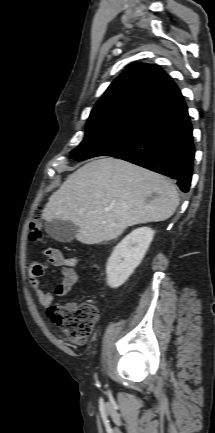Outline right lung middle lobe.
Returning <instances> with one entry per match:
<instances>
[{
	"instance_id": "right-lung-middle-lobe-1",
	"label": "right lung middle lobe",
	"mask_w": 215,
	"mask_h": 433,
	"mask_svg": "<svg viewBox=\"0 0 215 433\" xmlns=\"http://www.w3.org/2000/svg\"><path fill=\"white\" fill-rule=\"evenodd\" d=\"M145 120L143 116H123L87 122L85 139L70 157L83 161L118 151L132 141Z\"/></svg>"
}]
</instances>
